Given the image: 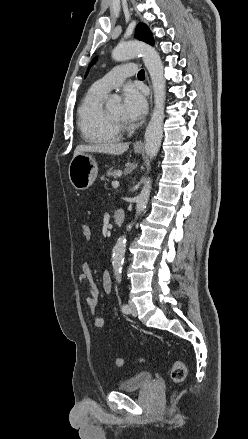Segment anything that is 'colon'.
Segmentation results:
<instances>
[{
    "label": "colon",
    "instance_id": "5ec220e1",
    "mask_svg": "<svg viewBox=\"0 0 248 439\" xmlns=\"http://www.w3.org/2000/svg\"><path fill=\"white\" fill-rule=\"evenodd\" d=\"M82 234L84 236L85 239L90 240L92 237V230L90 228L89 225L84 224L82 226ZM140 362H145L146 359L145 358H140L139 359ZM115 365L117 367H121L124 365V359L122 358H116L115 359ZM187 375V368L185 366V364L181 361H175L172 364L171 367V372H170V377L171 380L175 383V384H180L182 382H184L185 378Z\"/></svg>",
    "mask_w": 248,
    "mask_h": 439
}]
</instances>
